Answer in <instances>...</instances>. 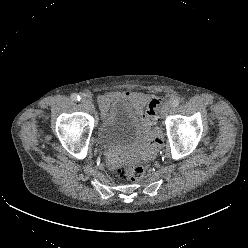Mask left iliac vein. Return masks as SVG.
<instances>
[{
    "label": "left iliac vein",
    "instance_id": "obj_1",
    "mask_svg": "<svg viewBox=\"0 0 248 248\" xmlns=\"http://www.w3.org/2000/svg\"><path fill=\"white\" fill-rule=\"evenodd\" d=\"M171 106L172 105L170 102L164 103V105L162 106V109H161L162 116H165L170 111Z\"/></svg>",
    "mask_w": 248,
    "mask_h": 248
}]
</instances>
